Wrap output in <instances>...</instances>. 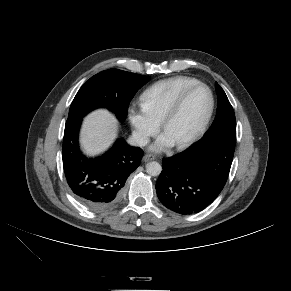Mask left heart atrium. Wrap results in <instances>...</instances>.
Here are the masks:
<instances>
[{"mask_svg": "<svg viewBox=\"0 0 291 291\" xmlns=\"http://www.w3.org/2000/svg\"><path fill=\"white\" fill-rule=\"evenodd\" d=\"M174 145V142L166 135L163 134L152 146V150L154 151H162L168 147Z\"/></svg>", "mask_w": 291, "mask_h": 291, "instance_id": "obj_1", "label": "left heart atrium"}]
</instances>
